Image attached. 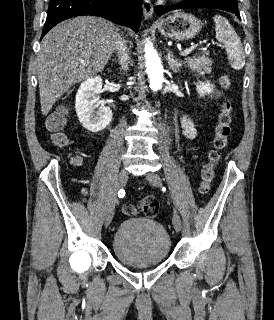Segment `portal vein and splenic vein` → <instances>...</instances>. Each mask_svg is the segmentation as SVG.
I'll return each instance as SVG.
<instances>
[{"label": "portal vein and splenic vein", "mask_w": 274, "mask_h": 320, "mask_svg": "<svg viewBox=\"0 0 274 320\" xmlns=\"http://www.w3.org/2000/svg\"><path fill=\"white\" fill-rule=\"evenodd\" d=\"M192 50H185V52H181V56H188Z\"/></svg>", "instance_id": "18ae733b"}]
</instances>
